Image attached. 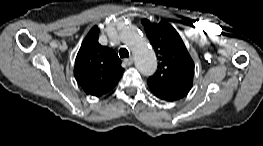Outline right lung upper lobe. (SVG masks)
<instances>
[{"mask_svg":"<svg viewBox=\"0 0 263 146\" xmlns=\"http://www.w3.org/2000/svg\"><path fill=\"white\" fill-rule=\"evenodd\" d=\"M98 37L99 28L94 26L82 42L74 66L77 83L96 97L112 90L124 72L115 51L101 46Z\"/></svg>","mask_w":263,"mask_h":146,"instance_id":"cb5924a9","label":"right lung upper lobe"}]
</instances>
